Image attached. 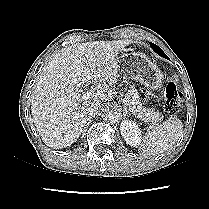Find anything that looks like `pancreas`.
<instances>
[{
	"label": "pancreas",
	"instance_id": "cf45deb5",
	"mask_svg": "<svg viewBox=\"0 0 209 209\" xmlns=\"http://www.w3.org/2000/svg\"><path fill=\"white\" fill-rule=\"evenodd\" d=\"M140 96L138 91L132 86L128 90L125 96V100L128 101L127 105L129 109L133 110L134 114L145 122H151L152 125H157L163 117L158 111L152 108H144L140 102Z\"/></svg>",
	"mask_w": 209,
	"mask_h": 209
}]
</instances>
